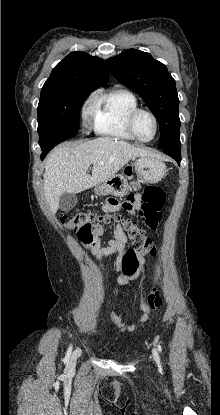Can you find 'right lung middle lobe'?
<instances>
[{
    "label": "right lung middle lobe",
    "mask_w": 220,
    "mask_h": 415,
    "mask_svg": "<svg viewBox=\"0 0 220 415\" xmlns=\"http://www.w3.org/2000/svg\"><path fill=\"white\" fill-rule=\"evenodd\" d=\"M90 91L69 88H42L38 104V133L41 149L53 148L74 137L79 113Z\"/></svg>",
    "instance_id": "obj_1"
}]
</instances>
